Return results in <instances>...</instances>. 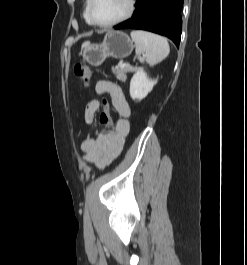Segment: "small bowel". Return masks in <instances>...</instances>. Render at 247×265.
Instances as JSON below:
<instances>
[{
  "mask_svg": "<svg viewBox=\"0 0 247 265\" xmlns=\"http://www.w3.org/2000/svg\"><path fill=\"white\" fill-rule=\"evenodd\" d=\"M98 95L108 94L111 97L118 119L114 127L107 133H99L87 136L82 144L83 159L95 165L97 168H104L110 164L122 151L125 139L129 133V116L131 114L130 105L117 84L101 80L95 85ZM100 108V101L93 99L89 101L84 110V121L86 124L93 122L96 112Z\"/></svg>",
  "mask_w": 247,
  "mask_h": 265,
  "instance_id": "c3829d8e",
  "label": "small bowel"
}]
</instances>
